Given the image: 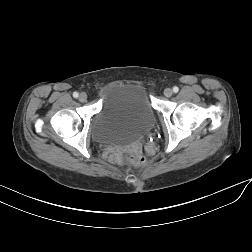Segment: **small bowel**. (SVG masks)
Listing matches in <instances>:
<instances>
[{"label":"small bowel","mask_w":252,"mask_h":252,"mask_svg":"<svg viewBox=\"0 0 252 252\" xmlns=\"http://www.w3.org/2000/svg\"><path fill=\"white\" fill-rule=\"evenodd\" d=\"M120 155H121V152H119V151H113L112 152V157L115 158V159H117Z\"/></svg>","instance_id":"c3829d8e"}]
</instances>
